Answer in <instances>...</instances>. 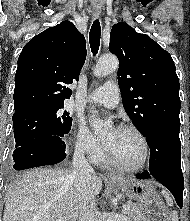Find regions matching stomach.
<instances>
[{
  "label": "stomach",
  "mask_w": 190,
  "mask_h": 221,
  "mask_svg": "<svg viewBox=\"0 0 190 221\" xmlns=\"http://www.w3.org/2000/svg\"><path fill=\"white\" fill-rule=\"evenodd\" d=\"M113 182L137 205L143 221H169L167 211L152 182L118 177Z\"/></svg>",
  "instance_id": "obj_1"
}]
</instances>
